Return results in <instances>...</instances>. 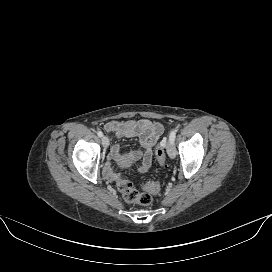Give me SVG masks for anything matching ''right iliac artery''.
<instances>
[{
  "label": "right iliac artery",
  "instance_id": "obj_1",
  "mask_svg": "<svg viewBox=\"0 0 272 272\" xmlns=\"http://www.w3.org/2000/svg\"><path fill=\"white\" fill-rule=\"evenodd\" d=\"M97 135H98L99 137H102V136H103V133H102L101 131H98V132H97Z\"/></svg>",
  "mask_w": 272,
  "mask_h": 272
}]
</instances>
